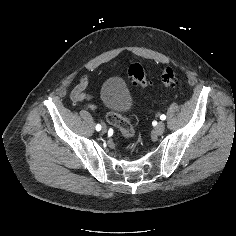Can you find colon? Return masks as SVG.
<instances>
[{"label":"colon","instance_id":"obj_1","mask_svg":"<svg viewBox=\"0 0 236 236\" xmlns=\"http://www.w3.org/2000/svg\"><path fill=\"white\" fill-rule=\"evenodd\" d=\"M127 74L137 85L147 87L150 84L145 69L142 65L134 63L129 66ZM161 81L167 88H174L178 85V77L173 69L166 67L161 73ZM107 121L110 125L117 128L125 138H131L134 133L133 125L118 112L110 111L107 113Z\"/></svg>","mask_w":236,"mask_h":236}]
</instances>
